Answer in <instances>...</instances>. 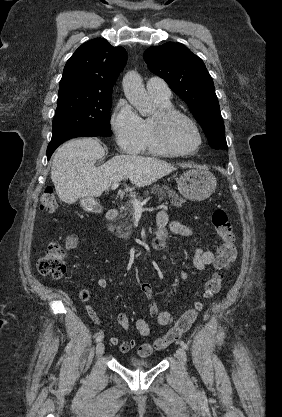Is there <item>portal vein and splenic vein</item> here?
I'll list each match as a JSON object with an SVG mask.
<instances>
[{
	"instance_id": "portal-vein-and-splenic-vein-1",
	"label": "portal vein and splenic vein",
	"mask_w": 282,
	"mask_h": 417,
	"mask_svg": "<svg viewBox=\"0 0 282 417\" xmlns=\"http://www.w3.org/2000/svg\"><path fill=\"white\" fill-rule=\"evenodd\" d=\"M119 186V182H115V184H112V186H110V188H112V190H115V188H118ZM150 199H153V196H149ZM149 198H145V200H143V202H141V200H137V198H134V200H132V204L135 207V211L136 212H143L144 211V206L143 204H146L147 200H149Z\"/></svg>"
}]
</instances>
